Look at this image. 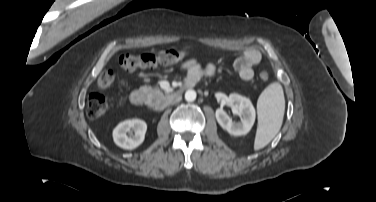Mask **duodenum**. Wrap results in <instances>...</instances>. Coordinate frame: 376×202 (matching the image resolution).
Masks as SVG:
<instances>
[{
  "label": "duodenum",
  "instance_id": "obj_1",
  "mask_svg": "<svg viewBox=\"0 0 376 202\" xmlns=\"http://www.w3.org/2000/svg\"><path fill=\"white\" fill-rule=\"evenodd\" d=\"M190 86H192V84H186L185 87H190ZM184 89L185 88H181V89H179L178 91H176V92H174L172 94L159 97L158 99H156L150 105V108L154 109V110H159V109L164 108L165 106H167L172 101H174L177 98L181 97ZM129 100H130V103L133 106H135V107H141V106L144 105V95H143L142 92H140L138 90H134V91L131 92V94L129 96Z\"/></svg>",
  "mask_w": 376,
  "mask_h": 202
}]
</instances>
